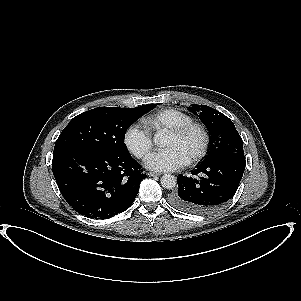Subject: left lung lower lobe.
<instances>
[{"label": "left lung lower lobe", "instance_id": "obj_1", "mask_svg": "<svg viewBox=\"0 0 301 301\" xmlns=\"http://www.w3.org/2000/svg\"><path fill=\"white\" fill-rule=\"evenodd\" d=\"M244 153L229 152L201 163L192 175L178 177V189L171 193L176 208L195 213L213 212L235 195L245 169ZM201 176V177H200Z\"/></svg>", "mask_w": 301, "mask_h": 301}]
</instances>
